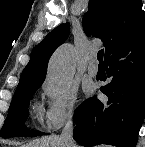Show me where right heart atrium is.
I'll list each match as a JSON object with an SVG mask.
<instances>
[{
    "label": "right heart atrium",
    "mask_w": 145,
    "mask_h": 147,
    "mask_svg": "<svg viewBox=\"0 0 145 147\" xmlns=\"http://www.w3.org/2000/svg\"><path fill=\"white\" fill-rule=\"evenodd\" d=\"M42 88L47 96L44 109L45 126L49 130H56L71 122L77 111V89L71 86L64 90H54L48 84H44Z\"/></svg>",
    "instance_id": "1"
}]
</instances>
